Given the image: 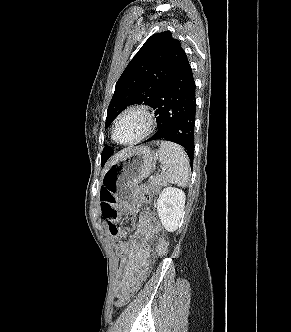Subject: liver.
Listing matches in <instances>:
<instances>
[{
    "label": "liver",
    "mask_w": 291,
    "mask_h": 332,
    "mask_svg": "<svg viewBox=\"0 0 291 332\" xmlns=\"http://www.w3.org/2000/svg\"><path fill=\"white\" fill-rule=\"evenodd\" d=\"M129 151H130V149H125V150H123V151L117 153V154L112 158L111 162L109 163V166H112V165L116 164V163L119 161V159H120L125 153H127V152H129Z\"/></svg>",
    "instance_id": "obj_1"
}]
</instances>
